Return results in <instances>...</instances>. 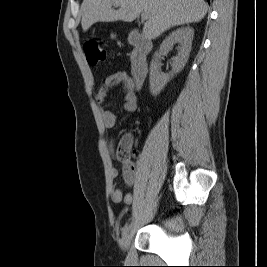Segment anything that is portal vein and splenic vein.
Listing matches in <instances>:
<instances>
[{"mask_svg": "<svg viewBox=\"0 0 267 267\" xmlns=\"http://www.w3.org/2000/svg\"><path fill=\"white\" fill-rule=\"evenodd\" d=\"M141 18L144 20L147 18V14L146 13H141Z\"/></svg>", "mask_w": 267, "mask_h": 267, "instance_id": "18ae733b", "label": "portal vein and splenic vein"}]
</instances>
